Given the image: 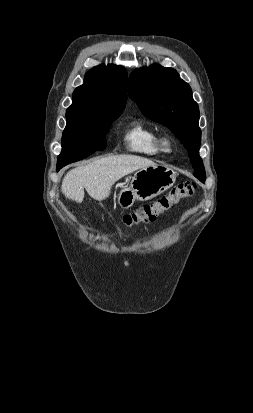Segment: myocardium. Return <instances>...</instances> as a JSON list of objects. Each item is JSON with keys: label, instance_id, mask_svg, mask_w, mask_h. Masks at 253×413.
Listing matches in <instances>:
<instances>
[{"label": "myocardium", "instance_id": "obj_1", "mask_svg": "<svg viewBox=\"0 0 253 413\" xmlns=\"http://www.w3.org/2000/svg\"><path fill=\"white\" fill-rule=\"evenodd\" d=\"M160 147L162 151L170 153L174 149L175 140L170 134H163L160 136Z\"/></svg>", "mask_w": 253, "mask_h": 413}]
</instances>
